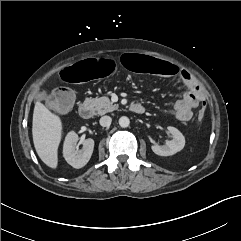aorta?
Instances as JSON below:
<instances>
[{"label":"aorta","instance_id":"obj_1","mask_svg":"<svg viewBox=\"0 0 241 241\" xmlns=\"http://www.w3.org/2000/svg\"><path fill=\"white\" fill-rule=\"evenodd\" d=\"M129 124H130V120H129L128 117L122 116V117L119 119V125H120L122 128L128 127Z\"/></svg>","mask_w":241,"mask_h":241}]
</instances>
